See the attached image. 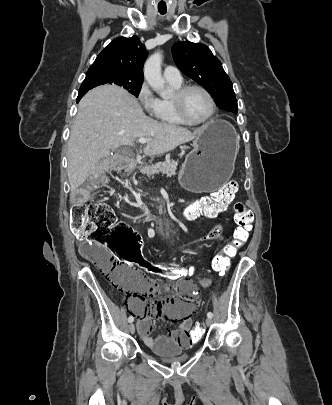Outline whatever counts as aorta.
<instances>
[{"mask_svg":"<svg viewBox=\"0 0 332 405\" xmlns=\"http://www.w3.org/2000/svg\"><path fill=\"white\" fill-rule=\"evenodd\" d=\"M161 64L162 54L157 51L144 64V78L153 90L164 95L165 81L161 74Z\"/></svg>","mask_w":332,"mask_h":405,"instance_id":"aorta-1","label":"aorta"}]
</instances>
